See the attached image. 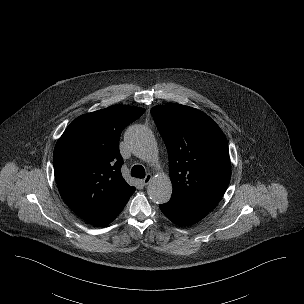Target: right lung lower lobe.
Returning a JSON list of instances; mask_svg holds the SVG:
<instances>
[{
    "instance_id": "1",
    "label": "right lung lower lobe",
    "mask_w": 304,
    "mask_h": 304,
    "mask_svg": "<svg viewBox=\"0 0 304 304\" xmlns=\"http://www.w3.org/2000/svg\"><path fill=\"white\" fill-rule=\"evenodd\" d=\"M130 196L127 197L125 200H123L108 216H106L99 223H97V225L103 226V225H107L110 222H112L119 215V213L122 211V209L125 207V205H126L127 201L129 200Z\"/></svg>"
}]
</instances>
